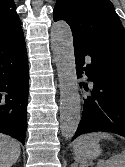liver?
I'll use <instances>...</instances> for the list:
<instances>
[{
  "label": "liver",
  "instance_id": "6515ba94",
  "mask_svg": "<svg viewBox=\"0 0 125 167\" xmlns=\"http://www.w3.org/2000/svg\"><path fill=\"white\" fill-rule=\"evenodd\" d=\"M20 152L17 140L0 133V167H11L17 162Z\"/></svg>",
  "mask_w": 125,
  "mask_h": 167
}]
</instances>
